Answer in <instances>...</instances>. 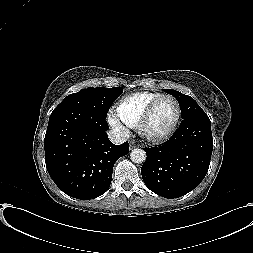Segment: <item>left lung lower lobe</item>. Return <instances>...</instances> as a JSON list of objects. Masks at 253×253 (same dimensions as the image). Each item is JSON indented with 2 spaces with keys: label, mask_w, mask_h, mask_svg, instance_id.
<instances>
[{
  "label": "left lung lower lobe",
  "mask_w": 253,
  "mask_h": 253,
  "mask_svg": "<svg viewBox=\"0 0 253 253\" xmlns=\"http://www.w3.org/2000/svg\"><path fill=\"white\" fill-rule=\"evenodd\" d=\"M144 150L141 174L148 189L165 198L181 197L208 171L213 150L210 119L206 114L185 118L169 141Z\"/></svg>",
  "instance_id": "left-lung-lower-lobe-1"
}]
</instances>
